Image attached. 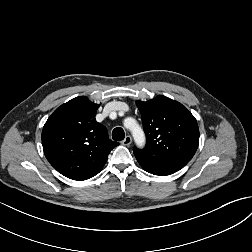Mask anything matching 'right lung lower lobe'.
Segmentation results:
<instances>
[{
    "mask_svg": "<svg viewBox=\"0 0 252 252\" xmlns=\"http://www.w3.org/2000/svg\"><path fill=\"white\" fill-rule=\"evenodd\" d=\"M98 173H99V172H98ZM98 173H96V174H98ZM96 174H94V175H91V176H88V177H86V178H83V179H81V180H86V179H89V178H91V177L95 176Z\"/></svg>",
    "mask_w": 252,
    "mask_h": 252,
    "instance_id": "right-lung-lower-lobe-1",
    "label": "right lung lower lobe"
}]
</instances>
